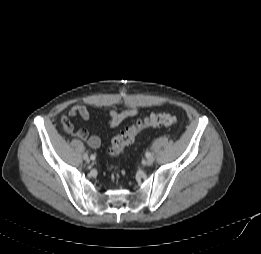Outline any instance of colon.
<instances>
[{
	"label": "colon",
	"mask_w": 261,
	"mask_h": 254,
	"mask_svg": "<svg viewBox=\"0 0 261 254\" xmlns=\"http://www.w3.org/2000/svg\"><path fill=\"white\" fill-rule=\"evenodd\" d=\"M177 123V117L171 113H157L140 118L132 126L128 127L124 132L112 140L109 148V155L111 157L120 156L124 149L131 145L135 141L136 137L146 129L172 127Z\"/></svg>",
	"instance_id": "obj_1"
}]
</instances>
